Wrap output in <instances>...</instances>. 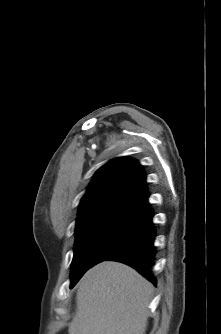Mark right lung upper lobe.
<instances>
[{
    "instance_id": "cb5924a9",
    "label": "right lung upper lobe",
    "mask_w": 221,
    "mask_h": 334,
    "mask_svg": "<svg viewBox=\"0 0 221 334\" xmlns=\"http://www.w3.org/2000/svg\"><path fill=\"white\" fill-rule=\"evenodd\" d=\"M145 172L138 161L116 158L94 175L78 210L76 227L87 218L98 215H134L147 218L148 204Z\"/></svg>"
}]
</instances>
